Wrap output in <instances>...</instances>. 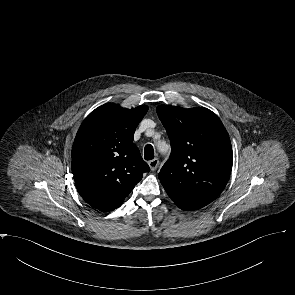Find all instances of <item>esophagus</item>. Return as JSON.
Segmentation results:
<instances>
[{
  "mask_svg": "<svg viewBox=\"0 0 295 295\" xmlns=\"http://www.w3.org/2000/svg\"><path fill=\"white\" fill-rule=\"evenodd\" d=\"M148 165L152 171H155L159 165V160L157 158L148 162Z\"/></svg>",
  "mask_w": 295,
  "mask_h": 295,
  "instance_id": "1",
  "label": "esophagus"
}]
</instances>
